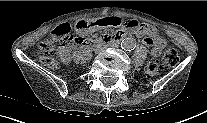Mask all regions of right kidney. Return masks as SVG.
Returning <instances> with one entry per match:
<instances>
[{
	"instance_id": "obj_1",
	"label": "right kidney",
	"mask_w": 207,
	"mask_h": 123,
	"mask_svg": "<svg viewBox=\"0 0 207 123\" xmlns=\"http://www.w3.org/2000/svg\"><path fill=\"white\" fill-rule=\"evenodd\" d=\"M60 59L63 63L68 64L70 62V56L62 51H59Z\"/></svg>"
}]
</instances>
